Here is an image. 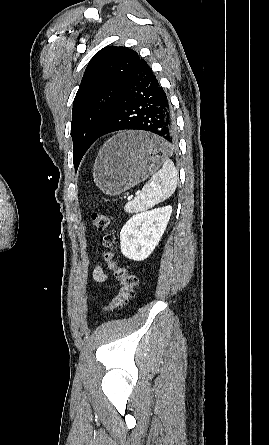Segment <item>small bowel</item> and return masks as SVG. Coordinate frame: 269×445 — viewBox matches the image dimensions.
<instances>
[{"label": "small bowel", "instance_id": "small-bowel-1", "mask_svg": "<svg viewBox=\"0 0 269 445\" xmlns=\"http://www.w3.org/2000/svg\"><path fill=\"white\" fill-rule=\"evenodd\" d=\"M92 276L94 281L98 283H102L107 279V274L104 272L103 268L100 265H97L93 269Z\"/></svg>", "mask_w": 269, "mask_h": 445}]
</instances>
